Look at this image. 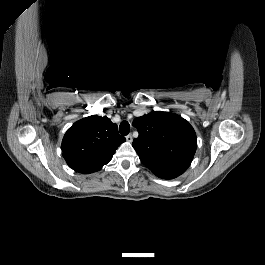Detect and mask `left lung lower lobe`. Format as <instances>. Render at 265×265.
Here are the masks:
<instances>
[{
  "label": "left lung lower lobe",
  "mask_w": 265,
  "mask_h": 265,
  "mask_svg": "<svg viewBox=\"0 0 265 265\" xmlns=\"http://www.w3.org/2000/svg\"><path fill=\"white\" fill-rule=\"evenodd\" d=\"M190 164L191 162H181L151 170L156 176L162 179H173L184 173Z\"/></svg>",
  "instance_id": "obj_1"
}]
</instances>
